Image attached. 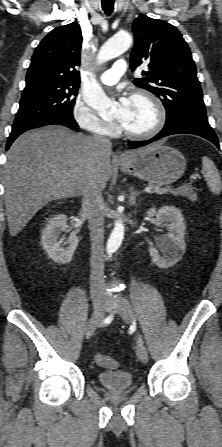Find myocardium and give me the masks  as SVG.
Returning a JSON list of instances; mask_svg holds the SVG:
<instances>
[{
	"mask_svg": "<svg viewBox=\"0 0 222 447\" xmlns=\"http://www.w3.org/2000/svg\"><path fill=\"white\" fill-rule=\"evenodd\" d=\"M145 99L147 100L155 109L156 112V122L154 126L144 132H132L127 130L123 125L120 126L121 132L128 138L131 139H148L157 135L165 126L166 123V110L163 103L158 97L153 93L146 90H138L131 95V99Z\"/></svg>",
	"mask_w": 222,
	"mask_h": 447,
	"instance_id": "1",
	"label": "myocardium"
}]
</instances>
